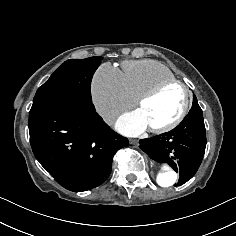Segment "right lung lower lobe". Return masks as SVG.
I'll return each instance as SVG.
<instances>
[{"instance_id": "98d812e1", "label": "right lung lower lobe", "mask_w": 236, "mask_h": 236, "mask_svg": "<svg viewBox=\"0 0 236 236\" xmlns=\"http://www.w3.org/2000/svg\"><path fill=\"white\" fill-rule=\"evenodd\" d=\"M30 143L40 164L64 188H95L110 175L128 139L115 133L91 104H64L29 114Z\"/></svg>"}]
</instances>
